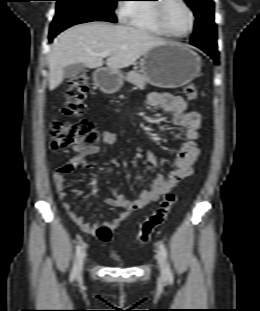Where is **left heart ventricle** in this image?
I'll use <instances>...</instances> for the list:
<instances>
[{"label": "left heart ventricle", "mask_w": 260, "mask_h": 311, "mask_svg": "<svg viewBox=\"0 0 260 311\" xmlns=\"http://www.w3.org/2000/svg\"><path fill=\"white\" fill-rule=\"evenodd\" d=\"M164 21L171 32L183 34L189 29L191 19L186 8L178 0H167Z\"/></svg>", "instance_id": "obj_1"}]
</instances>
